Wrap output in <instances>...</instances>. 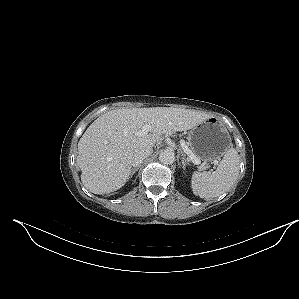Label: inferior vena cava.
I'll return each instance as SVG.
<instances>
[{
	"label": "inferior vena cava",
	"mask_w": 299,
	"mask_h": 299,
	"mask_svg": "<svg viewBox=\"0 0 299 299\" xmlns=\"http://www.w3.org/2000/svg\"><path fill=\"white\" fill-rule=\"evenodd\" d=\"M152 152L153 150L151 148H146L134 153L132 157V166L134 167L139 166L145 158H147L152 154Z\"/></svg>",
	"instance_id": "1"
}]
</instances>
